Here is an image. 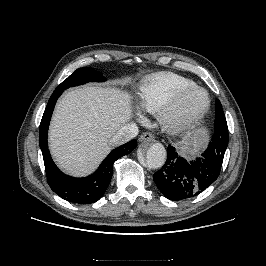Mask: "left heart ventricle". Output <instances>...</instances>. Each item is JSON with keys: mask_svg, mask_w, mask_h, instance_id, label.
I'll return each mask as SVG.
<instances>
[{"mask_svg": "<svg viewBox=\"0 0 266 266\" xmlns=\"http://www.w3.org/2000/svg\"><path fill=\"white\" fill-rule=\"evenodd\" d=\"M204 105L205 97L203 93L197 90H191L180 101L178 111L179 113L191 115L200 111Z\"/></svg>", "mask_w": 266, "mask_h": 266, "instance_id": "obj_1", "label": "left heart ventricle"}]
</instances>
